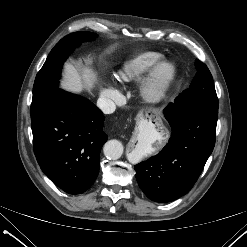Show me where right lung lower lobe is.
Returning <instances> with one entry per match:
<instances>
[{"instance_id":"right-lung-lower-lobe-1","label":"right lung lower lobe","mask_w":247,"mask_h":247,"mask_svg":"<svg viewBox=\"0 0 247 247\" xmlns=\"http://www.w3.org/2000/svg\"><path fill=\"white\" fill-rule=\"evenodd\" d=\"M104 119L92 102L59 89L32 120L36 159L63 191L80 194L96 180L100 150L108 139Z\"/></svg>"}]
</instances>
